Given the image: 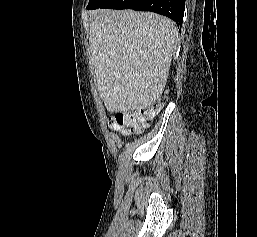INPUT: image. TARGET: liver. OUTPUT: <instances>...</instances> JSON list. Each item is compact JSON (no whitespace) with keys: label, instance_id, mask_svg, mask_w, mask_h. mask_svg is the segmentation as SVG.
Here are the masks:
<instances>
[{"label":"liver","instance_id":"1","mask_svg":"<svg viewBox=\"0 0 257 237\" xmlns=\"http://www.w3.org/2000/svg\"><path fill=\"white\" fill-rule=\"evenodd\" d=\"M177 37L174 22L155 13L94 12L89 43L98 90L108 111L145 109L160 98Z\"/></svg>","mask_w":257,"mask_h":237}]
</instances>
